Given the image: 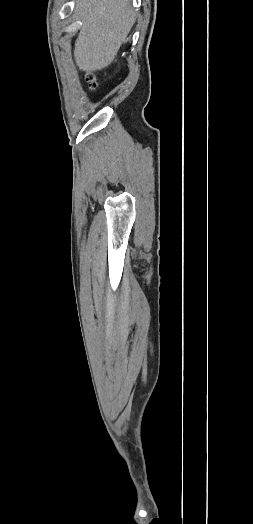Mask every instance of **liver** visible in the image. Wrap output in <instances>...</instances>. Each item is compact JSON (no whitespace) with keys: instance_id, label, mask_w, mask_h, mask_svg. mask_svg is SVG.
<instances>
[{"instance_id":"1","label":"liver","mask_w":253,"mask_h":524,"mask_svg":"<svg viewBox=\"0 0 253 524\" xmlns=\"http://www.w3.org/2000/svg\"><path fill=\"white\" fill-rule=\"evenodd\" d=\"M76 12L82 21L76 65L86 72L109 66L135 22L131 0H78Z\"/></svg>"}]
</instances>
